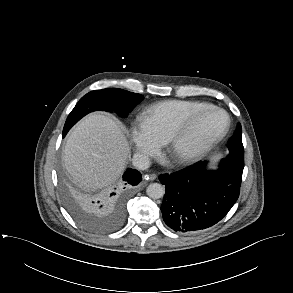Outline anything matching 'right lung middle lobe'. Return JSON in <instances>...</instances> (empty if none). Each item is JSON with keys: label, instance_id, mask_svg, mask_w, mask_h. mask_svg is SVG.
<instances>
[{"label": "right lung middle lobe", "instance_id": "1", "mask_svg": "<svg viewBox=\"0 0 293 293\" xmlns=\"http://www.w3.org/2000/svg\"><path fill=\"white\" fill-rule=\"evenodd\" d=\"M142 100L141 94L118 88L91 91L79 100L69 114L64 125L63 137L77 121L90 112L114 111L120 116L126 117ZM64 201L73 217L86 229L101 232L115 228L116 224L113 222L112 214L100 215L93 212L79 194L65 189Z\"/></svg>", "mask_w": 293, "mask_h": 293}]
</instances>
